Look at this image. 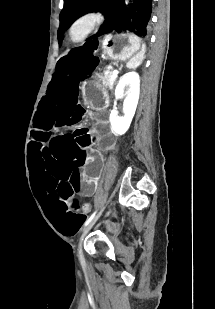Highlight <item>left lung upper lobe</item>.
<instances>
[{"label":"left lung upper lobe","mask_w":215,"mask_h":309,"mask_svg":"<svg viewBox=\"0 0 215 309\" xmlns=\"http://www.w3.org/2000/svg\"><path fill=\"white\" fill-rule=\"evenodd\" d=\"M100 9L105 14L106 22L96 38L112 31H131L140 36H146L152 12V0H135L131 7L124 0H64V8L60 14L58 42L62 43L63 32L81 15Z\"/></svg>","instance_id":"5c2ea615"}]
</instances>
